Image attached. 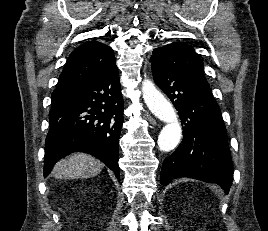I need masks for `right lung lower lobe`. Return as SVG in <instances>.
I'll return each mask as SVG.
<instances>
[{
  "mask_svg": "<svg viewBox=\"0 0 268 231\" xmlns=\"http://www.w3.org/2000/svg\"><path fill=\"white\" fill-rule=\"evenodd\" d=\"M74 92L68 101L50 110L44 177L56 161L81 151L101 160L120 180L118 146L124 104L116 61L80 84ZM70 134L74 135V141L68 139Z\"/></svg>",
  "mask_w": 268,
  "mask_h": 231,
  "instance_id": "1",
  "label": "right lung lower lobe"
}]
</instances>
